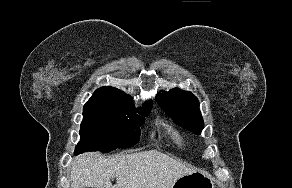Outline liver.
Here are the masks:
<instances>
[{"mask_svg": "<svg viewBox=\"0 0 292 188\" xmlns=\"http://www.w3.org/2000/svg\"><path fill=\"white\" fill-rule=\"evenodd\" d=\"M195 171L157 150L113 158L83 154L74 160L71 188H172L181 176Z\"/></svg>", "mask_w": 292, "mask_h": 188, "instance_id": "liver-1", "label": "liver"}]
</instances>
